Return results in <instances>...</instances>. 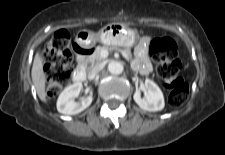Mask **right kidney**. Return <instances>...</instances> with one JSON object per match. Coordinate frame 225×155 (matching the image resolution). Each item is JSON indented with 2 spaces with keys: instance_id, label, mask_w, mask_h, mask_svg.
Wrapping results in <instances>:
<instances>
[{
  "instance_id": "right-kidney-1",
  "label": "right kidney",
  "mask_w": 225,
  "mask_h": 155,
  "mask_svg": "<svg viewBox=\"0 0 225 155\" xmlns=\"http://www.w3.org/2000/svg\"><path fill=\"white\" fill-rule=\"evenodd\" d=\"M81 89L82 84L80 82L66 87L57 100L58 112L66 115H75L89 107L93 100L91 95L83 97L80 102L74 101L78 97Z\"/></svg>"
}]
</instances>
